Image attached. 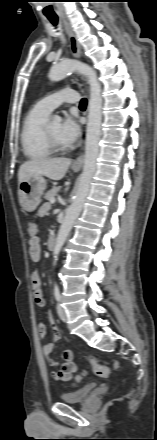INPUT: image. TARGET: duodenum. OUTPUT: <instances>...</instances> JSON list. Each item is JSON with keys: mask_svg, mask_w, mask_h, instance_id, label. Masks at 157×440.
Returning a JSON list of instances; mask_svg holds the SVG:
<instances>
[{"mask_svg": "<svg viewBox=\"0 0 157 440\" xmlns=\"http://www.w3.org/2000/svg\"><path fill=\"white\" fill-rule=\"evenodd\" d=\"M55 242H56L55 237L54 236H50L48 238V248L52 249L54 247V245H55Z\"/></svg>", "mask_w": 157, "mask_h": 440, "instance_id": "410a0bca", "label": "duodenum"}]
</instances>
